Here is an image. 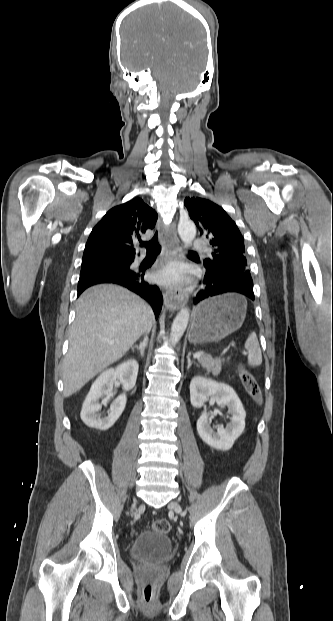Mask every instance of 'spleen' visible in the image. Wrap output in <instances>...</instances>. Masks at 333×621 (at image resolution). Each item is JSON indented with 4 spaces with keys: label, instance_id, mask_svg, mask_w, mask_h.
<instances>
[{
    "label": "spleen",
    "instance_id": "spleen-1",
    "mask_svg": "<svg viewBox=\"0 0 333 621\" xmlns=\"http://www.w3.org/2000/svg\"><path fill=\"white\" fill-rule=\"evenodd\" d=\"M244 347L248 353V364L253 367L261 365L262 353L255 333L248 336Z\"/></svg>",
    "mask_w": 333,
    "mask_h": 621
}]
</instances>
